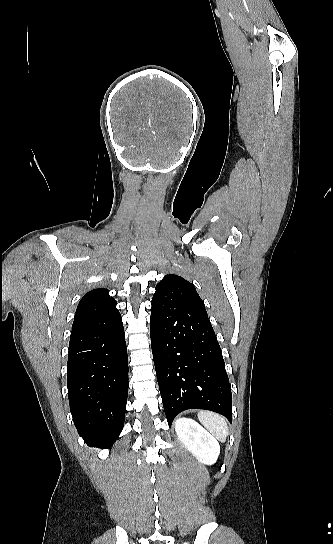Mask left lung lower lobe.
I'll return each mask as SVG.
<instances>
[{"instance_id": "left-lung-lower-lobe-1", "label": "left lung lower lobe", "mask_w": 333, "mask_h": 544, "mask_svg": "<svg viewBox=\"0 0 333 544\" xmlns=\"http://www.w3.org/2000/svg\"><path fill=\"white\" fill-rule=\"evenodd\" d=\"M150 336L169 426L187 409L211 410L232 422L229 378L206 309L152 301Z\"/></svg>"}]
</instances>
